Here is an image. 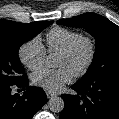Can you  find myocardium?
I'll return each instance as SVG.
<instances>
[{
  "instance_id": "myocardium-1",
  "label": "myocardium",
  "mask_w": 119,
  "mask_h": 119,
  "mask_svg": "<svg viewBox=\"0 0 119 119\" xmlns=\"http://www.w3.org/2000/svg\"><path fill=\"white\" fill-rule=\"evenodd\" d=\"M81 45H85L87 47L88 56L84 65L74 73L75 77L84 76L91 68L96 56V44L94 40L89 36L80 35L69 46L60 52V55L71 57L77 52Z\"/></svg>"
}]
</instances>
